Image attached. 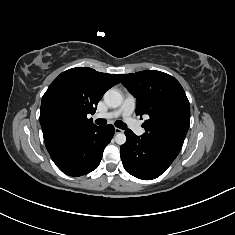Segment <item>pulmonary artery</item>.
<instances>
[{
	"mask_svg": "<svg viewBox=\"0 0 235 235\" xmlns=\"http://www.w3.org/2000/svg\"><path fill=\"white\" fill-rule=\"evenodd\" d=\"M135 105H136L135 98L132 95L128 94L126 95L122 105L118 109L105 114H100V113L96 114L95 117L110 119L122 116L126 121V123L129 125V127L132 129V131L137 135H141L143 133V129L140 126L139 122L132 117Z\"/></svg>",
	"mask_w": 235,
	"mask_h": 235,
	"instance_id": "obj_1",
	"label": "pulmonary artery"
}]
</instances>
